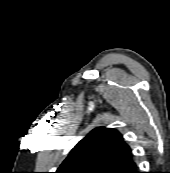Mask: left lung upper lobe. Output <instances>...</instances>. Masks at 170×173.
I'll return each mask as SVG.
<instances>
[{
  "label": "left lung upper lobe",
  "instance_id": "obj_1",
  "mask_svg": "<svg viewBox=\"0 0 170 173\" xmlns=\"http://www.w3.org/2000/svg\"><path fill=\"white\" fill-rule=\"evenodd\" d=\"M132 162L121 134L98 127L78 142L55 173H120Z\"/></svg>",
  "mask_w": 170,
  "mask_h": 173
}]
</instances>
